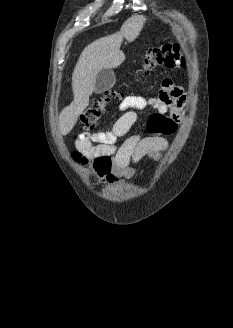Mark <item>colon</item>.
Returning a JSON list of instances; mask_svg holds the SVG:
<instances>
[{
  "instance_id": "1",
  "label": "colon",
  "mask_w": 233,
  "mask_h": 328,
  "mask_svg": "<svg viewBox=\"0 0 233 328\" xmlns=\"http://www.w3.org/2000/svg\"><path fill=\"white\" fill-rule=\"evenodd\" d=\"M186 59L182 48L178 44L165 43L151 48L146 54L142 72L148 74L156 67L172 69L184 67ZM117 97L115 91H111L94 100L82 113L80 119L85 129H93L100 119L108 103ZM147 132L151 137L171 135L177 128L175 119L167 114L159 112L150 115L147 121ZM77 162L92 163L99 175H105L111 168L109 156L95 157L92 161L80 152L73 154Z\"/></svg>"
}]
</instances>
